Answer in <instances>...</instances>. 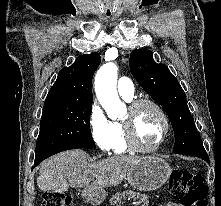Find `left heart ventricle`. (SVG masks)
<instances>
[{"instance_id":"b2bd125f","label":"left heart ventricle","mask_w":221,"mask_h":206,"mask_svg":"<svg viewBox=\"0 0 221 206\" xmlns=\"http://www.w3.org/2000/svg\"><path fill=\"white\" fill-rule=\"evenodd\" d=\"M127 119H132L135 135L140 145L151 147L157 143L163 131V122L153 107L144 105L133 113L128 110L124 117V120Z\"/></svg>"}]
</instances>
